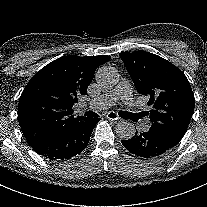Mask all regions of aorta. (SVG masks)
<instances>
[{
	"label": "aorta",
	"instance_id": "aorta-1",
	"mask_svg": "<svg viewBox=\"0 0 207 207\" xmlns=\"http://www.w3.org/2000/svg\"><path fill=\"white\" fill-rule=\"evenodd\" d=\"M96 81L104 89L113 88L119 81V73L112 66H103L96 72ZM116 134L123 140H129L135 135V126L130 121L118 122L115 128Z\"/></svg>",
	"mask_w": 207,
	"mask_h": 207
}]
</instances>
